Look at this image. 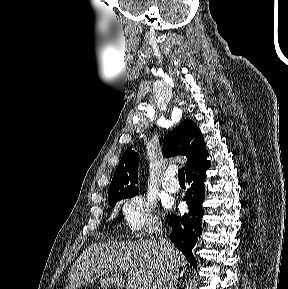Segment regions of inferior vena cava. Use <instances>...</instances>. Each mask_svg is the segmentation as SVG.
<instances>
[{"label": "inferior vena cava", "mask_w": 288, "mask_h": 289, "mask_svg": "<svg viewBox=\"0 0 288 289\" xmlns=\"http://www.w3.org/2000/svg\"><path fill=\"white\" fill-rule=\"evenodd\" d=\"M159 244L164 261L162 281L159 288L176 289L179 265L177 264L174 256V249L172 247V244L162 236L160 237Z\"/></svg>", "instance_id": "1"}]
</instances>
